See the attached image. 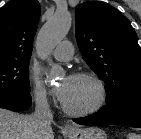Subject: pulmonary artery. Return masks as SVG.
Wrapping results in <instances>:
<instances>
[{
	"mask_svg": "<svg viewBox=\"0 0 141 139\" xmlns=\"http://www.w3.org/2000/svg\"><path fill=\"white\" fill-rule=\"evenodd\" d=\"M74 53L70 41H62L53 51V57L59 61H68Z\"/></svg>",
	"mask_w": 141,
	"mask_h": 139,
	"instance_id": "obj_1",
	"label": "pulmonary artery"
}]
</instances>
